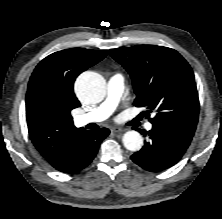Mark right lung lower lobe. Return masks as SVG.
<instances>
[{"mask_svg":"<svg viewBox=\"0 0 222 219\" xmlns=\"http://www.w3.org/2000/svg\"><path fill=\"white\" fill-rule=\"evenodd\" d=\"M109 133L107 128L84 130L71 142L66 153L53 167L69 174L81 171L92 162L100 143Z\"/></svg>","mask_w":222,"mask_h":219,"instance_id":"1","label":"right lung lower lobe"}]
</instances>
